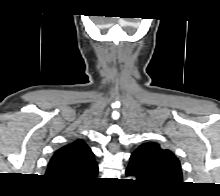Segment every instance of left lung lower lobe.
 I'll return each instance as SVG.
<instances>
[{
    "label": "left lung lower lobe",
    "mask_w": 220,
    "mask_h": 196,
    "mask_svg": "<svg viewBox=\"0 0 220 196\" xmlns=\"http://www.w3.org/2000/svg\"><path fill=\"white\" fill-rule=\"evenodd\" d=\"M126 174L129 175H133L135 176L139 181L141 182H146V180H144L142 174L139 172V170L136 168L135 164H134V159L130 157V163L128 165V168L126 169ZM147 183V182H146Z\"/></svg>",
    "instance_id": "left-lung-lower-lobe-1"
}]
</instances>
